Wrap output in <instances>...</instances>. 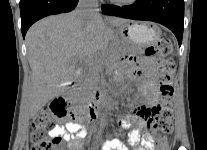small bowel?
I'll return each mask as SVG.
<instances>
[{
    "mask_svg": "<svg viewBox=\"0 0 207 150\" xmlns=\"http://www.w3.org/2000/svg\"><path fill=\"white\" fill-rule=\"evenodd\" d=\"M155 61L152 58H145L140 62L138 68H131L129 74L134 79L142 78L139 86L140 95L146 104L135 109L134 113L127 116L118 115L116 121L122 129H130L128 141L130 145H124V140H104V145H100V150H153V143L148 141L146 136L141 137V130L145 127L147 114L150 107L159 99L155 79ZM49 135L63 139L67 143V150H82L86 130L77 121H68L65 124L56 125L49 131Z\"/></svg>",
    "mask_w": 207,
    "mask_h": 150,
    "instance_id": "obj_1",
    "label": "small bowel"
}]
</instances>
